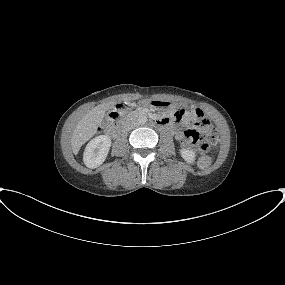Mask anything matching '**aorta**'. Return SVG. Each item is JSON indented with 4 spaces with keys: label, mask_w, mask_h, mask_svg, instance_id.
<instances>
[{
    "label": "aorta",
    "mask_w": 285,
    "mask_h": 285,
    "mask_svg": "<svg viewBox=\"0 0 285 285\" xmlns=\"http://www.w3.org/2000/svg\"><path fill=\"white\" fill-rule=\"evenodd\" d=\"M147 117L145 116V115H140L139 117H138V123L139 124H141V125H143V124H145L146 122H147Z\"/></svg>",
    "instance_id": "aorta-1"
}]
</instances>
